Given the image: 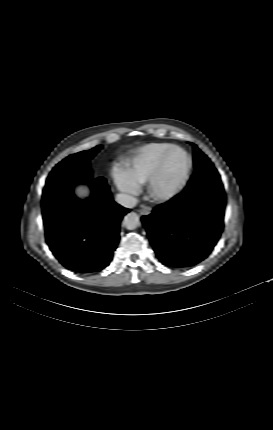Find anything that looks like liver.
Segmentation results:
<instances>
[{"label": "liver", "instance_id": "6515ba94", "mask_svg": "<svg viewBox=\"0 0 273 430\" xmlns=\"http://www.w3.org/2000/svg\"><path fill=\"white\" fill-rule=\"evenodd\" d=\"M75 196L77 198H79L80 200H86L87 198L90 197V191L89 189L86 187V185L81 184L79 185L75 192H74Z\"/></svg>", "mask_w": 273, "mask_h": 430}]
</instances>
